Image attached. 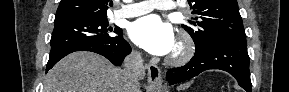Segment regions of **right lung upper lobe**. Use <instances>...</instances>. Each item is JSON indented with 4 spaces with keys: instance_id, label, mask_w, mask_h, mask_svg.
<instances>
[{
    "instance_id": "1",
    "label": "right lung upper lobe",
    "mask_w": 289,
    "mask_h": 92,
    "mask_svg": "<svg viewBox=\"0 0 289 92\" xmlns=\"http://www.w3.org/2000/svg\"><path fill=\"white\" fill-rule=\"evenodd\" d=\"M109 0H61L54 22L73 18H107L106 10L112 6Z\"/></svg>"
}]
</instances>
